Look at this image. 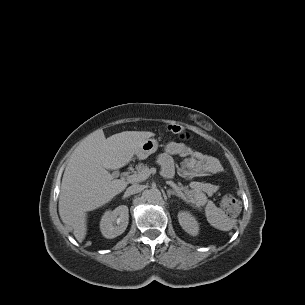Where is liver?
<instances>
[{
  "instance_id": "obj_1",
  "label": "liver",
  "mask_w": 305,
  "mask_h": 305,
  "mask_svg": "<svg viewBox=\"0 0 305 305\" xmlns=\"http://www.w3.org/2000/svg\"><path fill=\"white\" fill-rule=\"evenodd\" d=\"M152 136L148 131H124L106 139L102 130H96L74 150L62 178L59 215L79 242L87 233L86 212L108 203L128 184L107 170L127 165Z\"/></svg>"
}]
</instances>
